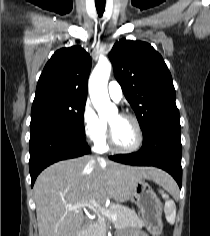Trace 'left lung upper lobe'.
Masks as SVG:
<instances>
[{
    "mask_svg": "<svg viewBox=\"0 0 210 236\" xmlns=\"http://www.w3.org/2000/svg\"><path fill=\"white\" fill-rule=\"evenodd\" d=\"M114 75L145 133L153 124L179 121L176 92L162 56L142 41L117 42L109 54Z\"/></svg>",
    "mask_w": 210,
    "mask_h": 236,
    "instance_id": "obj_1",
    "label": "left lung upper lobe"
}]
</instances>
